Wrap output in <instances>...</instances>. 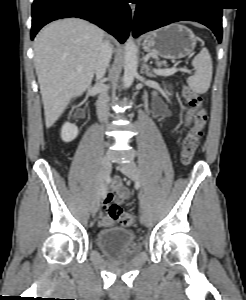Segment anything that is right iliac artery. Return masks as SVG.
Masks as SVG:
<instances>
[{"instance_id":"1","label":"right iliac artery","mask_w":246,"mask_h":300,"mask_svg":"<svg viewBox=\"0 0 246 300\" xmlns=\"http://www.w3.org/2000/svg\"><path fill=\"white\" fill-rule=\"evenodd\" d=\"M101 191H102L101 195H102V197H104V196H105V194H106V187H105V185H104V184H102Z\"/></svg>"}]
</instances>
